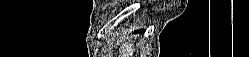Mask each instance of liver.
<instances>
[{
    "label": "liver",
    "mask_w": 249,
    "mask_h": 57,
    "mask_svg": "<svg viewBox=\"0 0 249 57\" xmlns=\"http://www.w3.org/2000/svg\"><path fill=\"white\" fill-rule=\"evenodd\" d=\"M131 51V47L128 44H123V53H122V57H129L128 55L129 52Z\"/></svg>",
    "instance_id": "obj_1"
}]
</instances>
